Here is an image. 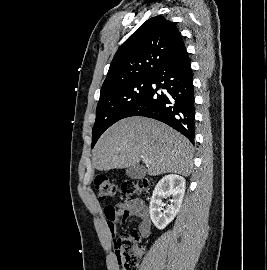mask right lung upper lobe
<instances>
[{
    "mask_svg": "<svg viewBox=\"0 0 267 270\" xmlns=\"http://www.w3.org/2000/svg\"><path fill=\"white\" fill-rule=\"evenodd\" d=\"M183 44L173 22L161 15L148 19L117 50L101 91L126 81L151 77Z\"/></svg>",
    "mask_w": 267,
    "mask_h": 270,
    "instance_id": "right-lung-upper-lobe-1",
    "label": "right lung upper lobe"
}]
</instances>
